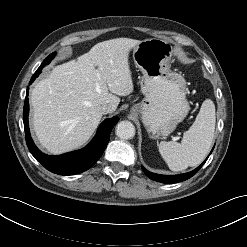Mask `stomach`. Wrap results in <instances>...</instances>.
<instances>
[{"label": "stomach", "instance_id": "obj_1", "mask_svg": "<svg viewBox=\"0 0 247 247\" xmlns=\"http://www.w3.org/2000/svg\"><path fill=\"white\" fill-rule=\"evenodd\" d=\"M132 50L134 63L143 74L141 91L145 97L131 112L140 115L151 138L168 136L190 110L186 81L171 70L172 46L151 38L140 41Z\"/></svg>", "mask_w": 247, "mask_h": 247}]
</instances>
